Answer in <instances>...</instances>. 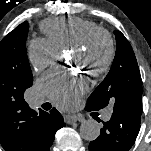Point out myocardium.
Masks as SVG:
<instances>
[{
  "label": "myocardium",
  "mask_w": 151,
  "mask_h": 151,
  "mask_svg": "<svg viewBox=\"0 0 151 151\" xmlns=\"http://www.w3.org/2000/svg\"><path fill=\"white\" fill-rule=\"evenodd\" d=\"M99 41H103L106 45L107 50L104 60L98 66L85 68L87 72L94 77L106 73L114 60L115 46L110 33L101 28L96 29L90 32L80 43L73 47V50L76 53L88 54Z\"/></svg>",
  "instance_id": "f54148a6"
}]
</instances>
